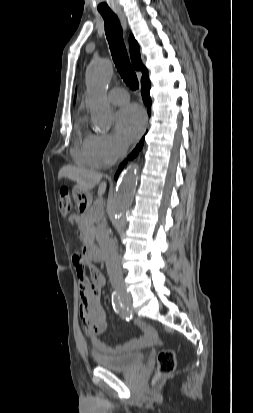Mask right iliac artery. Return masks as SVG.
<instances>
[{"label":"right iliac artery","instance_id":"82829eb1","mask_svg":"<svg viewBox=\"0 0 253 413\" xmlns=\"http://www.w3.org/2000/svg\"><path fill=\"white\" fill-rule=\"evenodd\" d=\"M112 305H113L114 311L117 314H119L122 318L126 320H129L131 318L132 315L129 309L123 306V304L120 301V297L116 292L112 294Z\"/></svg>","mask_w":253,"mask_h":413}]
</instances>
